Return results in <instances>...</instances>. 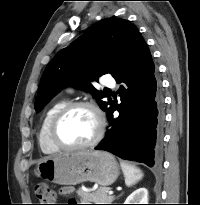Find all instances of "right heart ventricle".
<instances>
[{
	"label": "right heart ventricle",
	"mask_w": 200,
	"mask_h": 205,
	"mask_svg": "<svg viewBox=\"0 0 200 205\" xmlns=\"http://www.w3.org/2000/svg\"><path fill=\"white\" fill-rule=\"evenodd\" d=\"M67 103L68 102L65 99H61V100L54 102L46 110V112L43 116L40 130H39V134H38V142H39V146H40L41 150L44 153L52 154V153H56L59 151V149H57L50 140L49 130H50V125H51V122H52L54 116Z\"/></svg>",
	"instance_id": "right-heart-ventricle-1"
}]
</instances>
